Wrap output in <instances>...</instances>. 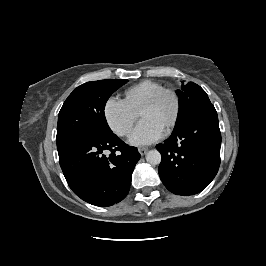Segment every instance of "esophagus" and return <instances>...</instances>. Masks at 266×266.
Instances as JSON below:
<instances>
[{
    "label": "esophagus",
    "mask_w": 266,
    "mask_h": 266,
    "mask_svg": "<svg viewBox=\"0 0 266 266\" xmlns=\"http://www.w3.org/2000/svg\"><path fill=\"white\" fill-rule=\"evenodd\" d=\"M138 151L141 155H144L148 151V148L147 147H140V148H138Z\"/></svg>",
    "instance_id": "34e87169"
}]
</instances>
